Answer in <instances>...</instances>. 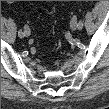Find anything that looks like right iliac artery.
<instances>
[{
  "instance_id": "obj_1",
  "label": "right iliac artery",
  "mask_w": 109,
  "mask_h": 109,
  "mask_svg": "<svg viewBox=\"0 0 109 109\" xmlns=\"http://www.w3.org/2000/svg\"><path fill=\"white\" fill-rule=\"evenodd\" d=\"M24 29H25V27H24ZM18 36L21 37V38L24 37V33H23L22 30H19L18 31Z\"/></svg>"
}]
</instances>
